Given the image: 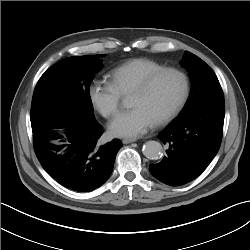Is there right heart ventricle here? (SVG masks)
Listing matches in <instances>:
<instances>
[{"mask_svg":"<svg viewBox=\"0 0 250 250\" xmlns=\"http://www.w3.org/2000/svg\"><path fill=\"white\" fill-rule=\"evenodd\" d=\"M164 68L152 59H130L111 70L110 82L121 95L130 94L149 74Z\"/></svg>","mask_w":250,"mask_h":250,"instance_id":"1","label":"right heart ventricle"}]
</instances>
